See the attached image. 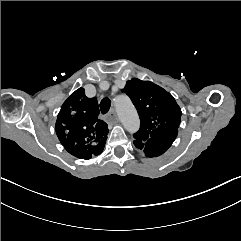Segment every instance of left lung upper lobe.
I'll list each match as a JSON object with an SVG mask.
<instances>
[{
    "instance_id": "obj_1",
    "label": "left lung upper lobe",
    "mask_w": 241,
    "mask_h": 241,
    "mask_svg": "<svg viewBox=\"0 0 241 241\" xmlns=\"http://www.w3.org/2000/svg\"><path fill=\"white\" fill-rule=\"evenodd\" d=\"M136 107L141 125L134 134V145L146 152H157L167 135L178 131L181 109L173 96L151 81L133 78L122 89Z\"/></svg>"
}]
</instances>
